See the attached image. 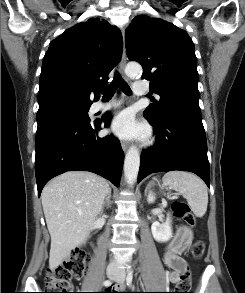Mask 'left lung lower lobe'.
Instances as JSON below:
<instances>
[{"instance_id":"0a47b994","label":"left lung lower lobe","mask_w":245,"mask_h":293,"mask_svg":"<svg viewBox=\"0 0 245 293\" xmlns=\"http://www.w3.org/2000/svg\"><path fill=\"white\" fill-rule=\"evenodd\" d=\"M155 128L156 143L141 154L138 182L154 172L172 170L197 174L210 187L207 142L201 117L169 111L158 120L144 115Z\"/></svg>"}]
</instances>
